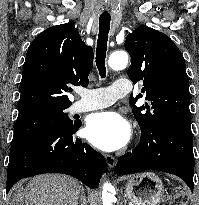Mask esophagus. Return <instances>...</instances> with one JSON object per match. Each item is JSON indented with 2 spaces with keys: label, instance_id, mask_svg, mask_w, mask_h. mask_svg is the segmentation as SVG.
<instances>
[{
  "label": "esophagus",
  "instance_id": "34e87169",
  "mask_svg": "<svg viewBox=\"0 0 199 205\" xmlns=\"http://www.w3.org/2000/svg\"><path fill=\"white\" fill-rule=\"evenodd\" d=\"M105 160L107 162V165L109 168H113L116 164V160L112 155L106 154L105 155Z\"/></svg>",
  "mask_w": 199,
  "mask_h": 205
}]
</instances>
